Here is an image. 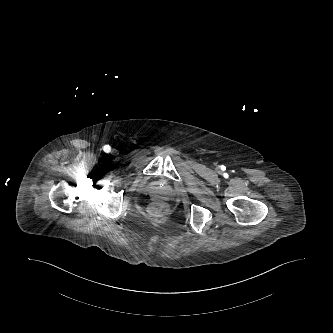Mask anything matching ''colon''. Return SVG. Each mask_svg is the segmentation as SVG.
<instances>
[{
	"label": "colon",
	"mask_w": 333,
	"mask_h": 333,
	"mask_svg": "<svg viewBox=\"0 0 333 333\" xmlns=\"http://www.w3.org/2000/svg\"><path fill=\"white\" fill-rule=\"evenodd\" d=\"M152 211L157 215L162 214L165 211V206L162 204H157L153 207Z\"/></svg>",
	"instance_id": "1"
}]
</instances>
